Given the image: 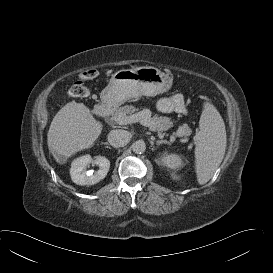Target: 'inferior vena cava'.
I'll use <instances>...</instances> for the list:
<instances>
[{"instance_id": "inferior-vena-cava-1", "label": "inferior vena cava", "mask_w": 273, "mask_h": 273, "mask_svg": "<svg viewBox=\"0 0 273 273\" xmlns=\"http://www.w3.org/2000/svg\"><path fill=\"white\" fill-rule=\"evenodd\" d=\"M131 135L126 130H111L108 134V142L115 148L124 147L130 141Z\"/></svg>"}]
</instances>
